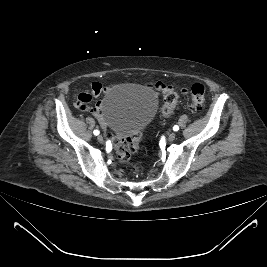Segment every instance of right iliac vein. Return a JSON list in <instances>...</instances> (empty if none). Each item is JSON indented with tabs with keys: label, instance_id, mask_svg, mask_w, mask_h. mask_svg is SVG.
<instances>
[{
	"label": "right iliac vein",
	"instance_id": "63e3f726",
	"mask_svg": "<svg viewBox=\"0 0 267 267\" xmlns=\"http://www.w3.org/2000/svg\"><path fill=\"white\" fill-rule=\"evenodd\" d=\"M97 140H98L100 143H103V142H104V140H103V136H102V135H98Z\"/></svg>",
	"mask_w": 267,
	"mask_h": 267
}]
</instances>
